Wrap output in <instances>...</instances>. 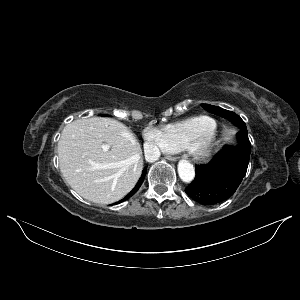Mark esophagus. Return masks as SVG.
<instances>
[{"label":"esophagus","mask_w":300,"mask_h":300,"mask_svg":"<svg viewBox=\"0 0 300 300\" xmlns=\"http://www.w3.org/2000/svg\"><path fill=\"white\" fill-rule=\"evenodd\" d=\"M168 160H170V161H177L178 158H177V157H171V156H169V157H168Z\"/></svg>","instance_id":"1"}]
</instances>
